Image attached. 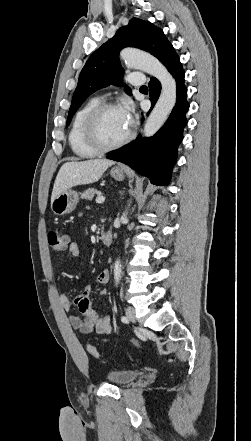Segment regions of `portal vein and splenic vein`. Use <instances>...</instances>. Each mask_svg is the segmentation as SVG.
<instances>
[{"label":"portal vein and splenic vein","mask_w":251,"mask_h":441,"mask_svg":"<svg viewBox=\"0 0 251 441\" xmlns=\"http://www.w3.org/2000/svg\"><path fill=\"white\" fill-rule=\"evenodd\" d=\"M105 201V197H103V196H98L97 198H96V202L97 203H103Z\"/></svg>","instance_id":"portal-vein-and-splenic-vein-1"}]
</instances>
